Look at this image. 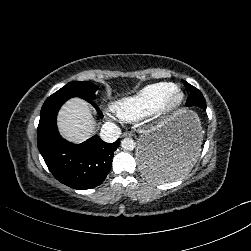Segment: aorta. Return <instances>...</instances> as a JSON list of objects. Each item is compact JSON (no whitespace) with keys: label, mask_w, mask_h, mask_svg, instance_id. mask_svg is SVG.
Listing matches in <instances>:
<instances>
[{"label":"aorta","mask_w":251,"mask_h":251,"mask_svg":"<svg viewBox=\"0 0 251 251\" xmlns=\"http://www.w3.org/2000/svg\"><path fill=\"white\" fill-rule=\"evenodd\" d=\"M135 146H136V143L132 138H124L121 141V147L124 150L132 151L135 148Z\"/></svg>","instance_id":"762f6f07"}]
</instances>
